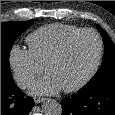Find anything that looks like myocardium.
Wrapping results in <instances>:
<instances>
[{
    "instance_id": "myocardium-1",
    "label": "myocardium",
    "mask_w": 115,
    "mask_h": 115,
    "mask_svg": "<svg viewBox=\"0 0 115 115\" xmlns=\"http://www.w3.org/2000/svg\"><path fill=\"white\" fill-rule=\"evenodd\" d=\"M85 34H92L96 37L97 41H98V54H97V58L95 60V63L92 67V69L89 71V73L78 83L69 86V87H64L63 90L65 92H76L79 91L80 89H82L83 87H85L93 78L94 76L97 74L102 59H103V54H104V43H103V39L101 37V35L94 29H82L72 35H70L69 37H67L61 44L60 46L56 49V51L47 59V61L44 64L45 67V71L47 70V68L57 62L58 60H60L63 55L66 53V51L68 50L69 46L80 36L85 35Z\"/></svg>"
}]
</instances>
